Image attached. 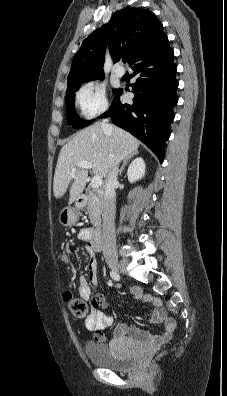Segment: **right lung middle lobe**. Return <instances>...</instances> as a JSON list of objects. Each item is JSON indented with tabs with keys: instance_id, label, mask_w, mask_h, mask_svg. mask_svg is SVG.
Wrapping results in <instances>:
<instances>
[{
	"instance_id": "obj_1",
	"label": "right lung middle lobe",
	"mask_w": 227,
	"mask_h": 396,
	"mask_svg": "<svg viewBox=\"0 0 227 396\" xmlns=\"http://www.w3.org/2000/svg\"><path fill=\"white\" fill-rule=\"evenodd\" d=\"M98 78L103 79V76H100ZM94 79H96V78H94ZM84 82L85 81H82L67 90V96H66L67 121H68L69 125L73 126V128H80V127L88 126L94 121V120L85 121V120L80 119L75 111V107H74L75 93L79 89L80 85ZM115 92H116V90H115Z\"/></svg>"
}]
</instances>
